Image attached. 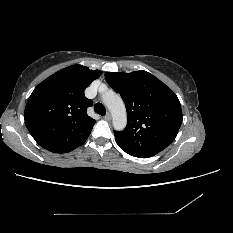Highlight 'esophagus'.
I'll return each mask as SVG.
<instances>
[{"mask_svg": "<svg viewBox=\"0 0 233 233\" xmlns=\"http://www.w3.org/2000/svg\"><path fill=\"white\" fill-rule=\"evenodd\" d=\"M104 119H105V120H110V119H111V114H110V113H107V114L104 116Z\"/></svg>", "mask_w": 233, "mask_h": 233, "instance_id": "34e87169", "label": "esophagus"}]
</instances>
